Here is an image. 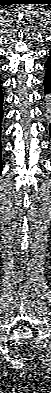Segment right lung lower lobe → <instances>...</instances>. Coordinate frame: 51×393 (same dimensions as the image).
Listing matches in <instances>:
<instances>
[{
    "mask_svg": "<svg viewBox=\"0 0 51 393\" xmlns=\"http://www.w3.org/2000/svg\"><path fill=\"white\" fill-rule=\"evenodd\" d=\"M1 84L2 81L0 80V139H1V122H2V117H3V95H2V91H1ZM2 170V162H1V140H0V172Z\"/></svg>",
    "mask_w": 51,
    "mask_h": 393,
    "instance_id": "obj_1",
    "label": "right lung lower lobe"
}]
</instances>
